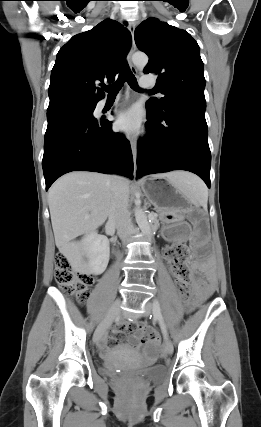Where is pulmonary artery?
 <instances>
[{"label": "pulmonary artery", "mask_w": 261, "mask_h": 427, "mask_svg": "<svg viewBox=\"0 0 261 427\" xmlns=\"http://www.w3.org/2000/svg\"><path fill=\"white\" fill-rule=\"evenodd\" d=\"M155 85V81L153 80V79H151V78H149V77H143L141 80H140V86L142 87V88H151V87H153ZM124 98V96H117L116 98H115V102H118V101H120L121 99H123ZM108 102V100L107 99H104V100H102L101 102H100V105L101 106H104V105H106V103Z\"/></svg>", "instance_id": "1"}]
</instances>
